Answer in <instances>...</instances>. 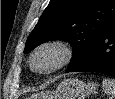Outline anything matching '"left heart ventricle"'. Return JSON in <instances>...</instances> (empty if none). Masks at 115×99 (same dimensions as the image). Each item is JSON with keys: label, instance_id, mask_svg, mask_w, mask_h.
<instances>
[{"label": "left heart ventricle", "instance_id": "obj_1", "mask_svg": "<svg viewBox=\"0 0 115 99\" xmlns=\"http://www.w3.org/2000/svg\"><path fill=\"white\" fill-rule=\"evenodd\" d=\"M58 61V53L54 50H44L34 59V66L39 70H46Z\"/></svg>", "mask_w": 115, "mask_h": 99}]
</instances>
